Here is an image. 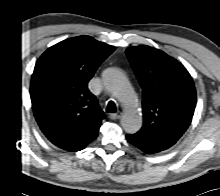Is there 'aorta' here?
<instances>
[{"mask_svg":"<svg viewBox=\"0 0 220 196\" xmlns=\"http://www.w3.org/2000/svg\"><path fill=\"white\" fill-rule=\"evenodd\" d=\"M106 87L112 91L124 106L121 124L128 133L137 132L142 126V114L136 103V95L127 78L118 70L104 73Z\"/></svg>","mask_w":220,"mask_h":196,"instance_id":"obj_1","label":"aorta"}]
</instances>
